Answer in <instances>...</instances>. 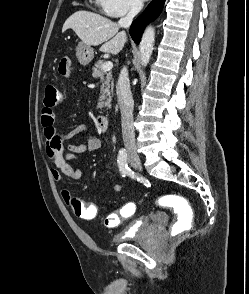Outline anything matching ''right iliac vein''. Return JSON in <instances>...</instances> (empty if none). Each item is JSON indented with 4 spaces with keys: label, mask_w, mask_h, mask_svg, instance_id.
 Instances as JSON below:
<instances>
[{
    "label": "right iliac vein",
    "mask_w": 249,
    "mask_h": 294,
    "mask_svg": "<svg viewBox=\"0 0 249 294\" xmlns=\"http://www.w3.org/2000/svg\"><path fill=\"white\" fill-rule=\"evenodd\" d=\"M128 159L130 164L135 170H138V171L142 170L140 157L138 156L137 152L134 149H131V148L128 149Z\"/></svg>",
    "instance_id": "63e3f726"
}]
</instances>
